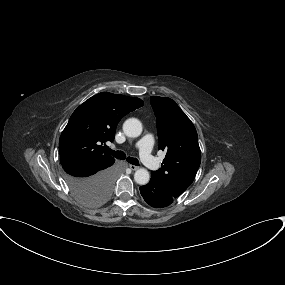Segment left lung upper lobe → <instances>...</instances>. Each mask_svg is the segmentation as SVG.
<instances>
[{
	"label": "left lung upper lobe",
	"mask_w": 285,
	"mask_h": 285,
	"mask_svg": "<svg viewBox=\"0 0 285 285\" xmlns=\"http://www.w3.org/2000/svg\"><path fill=\"white\" fill-rule=\"evenodd\" d=\"M151 105L156 116L159 149L166 152L161 168L152 173L179 196L191 185L200 166L198 135L174 100L154 96Z\"/></svg>",
	"instance_id": "1"
}]
</instances>
